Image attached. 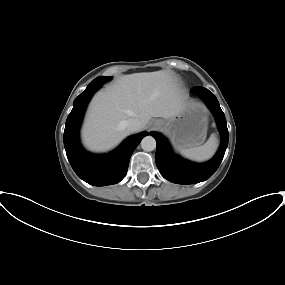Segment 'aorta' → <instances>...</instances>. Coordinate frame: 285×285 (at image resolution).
I'll use <instances>...</instances> for the list:
<instances>
[{
	"label": "aorta",
	"mask_w": 285,
	"mask_h": 285,
	"mask_svg": "<svg viewBox=\"0 0 285 285\" xmlns=\"http://www.w3.org/2000/svg\"><path fill=\"white\" fill-rule=\"evenodd\" d=\"M141 148L144 151H153L156 148V141L152 136H146L141 141Z\"/></svg>",
	"instance_id": "1"
}]
</instances>
